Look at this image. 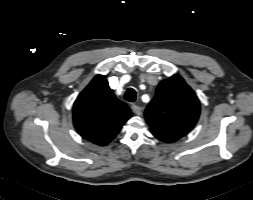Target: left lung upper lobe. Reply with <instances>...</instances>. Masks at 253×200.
I'll return each mask as SVG.
<instances>
[{"label":"left lung upper lobe","mask_w":253,"mask_h":200,"mask_svg":"<svg viewBox=\"0 0 253 200\" xmlns=\"http://www.w3.org/2000/svg\"><path fill=\"white\" fill-rule=\"evenodd\" d=\"M200 114L199 100L179 75L161 81L154 99L145 110L152 133L182 137L196 124Z\"/></svg>","instance_id":"5c2ea615"}]
</instances>
